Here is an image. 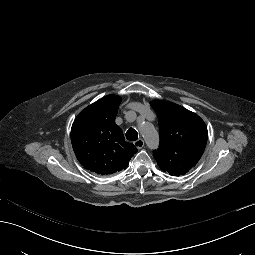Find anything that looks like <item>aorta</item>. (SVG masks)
Instances as JSON below:
<instances>
[{"mask_svg":"<svg viewBox=\"0 0 255 255\" xmlns=\"http://www.w3.org/2000/svg\"><path fill=\"white\" fill-rule=\"evenodd\" d=\"M140 130L147 146L151 149L157 148L159 143V135L155 128L151 124L146 123L140 126Z\"/></svg>","mask_w":255,"mask_h":255,"instance_id":"1","label":"aorta"}]
</instances>
